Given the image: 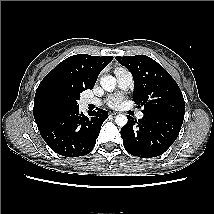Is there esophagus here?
Wrapping results in <instances>:
<instances>
[{
	"label": "esophagus",
	"instance_id": "1",
	"mask_svg": "<svg viewBox=\"0 0 214 214\" xmlns=\"http://www.w3.org/2000/svg\"><path fill=\"white\" fill-rule=\"evenodd\" d=\"M111 115H116L118 114L117 112H110Z\"/></svg>",
	"mask_w": 214,
	"mask_h": 214
}]
</instances>
